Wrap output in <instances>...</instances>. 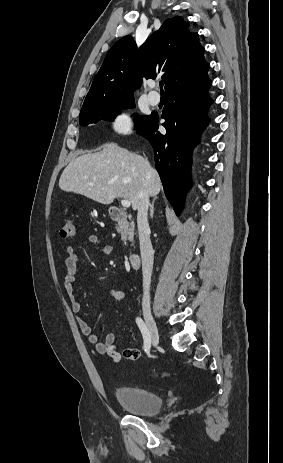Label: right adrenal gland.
Here are the masks:
<instances>
[{"instance_id":"obj_1","label":"right adrenal gland","mask_w":283,"mask_h":463,"mask_svg":"<svg viewBox=\"0 0 283 463\" xmlns=\"http://www.w3.org/2000/svg\"><path fill=\"white\" fill-rule=\"evenodd\" d=\"M157 200V197H154L153 198V201H152V204L150 206V213H149V216L150 218H153V215H154V204H155V201Z\"/></svg>"}]
</instances>
